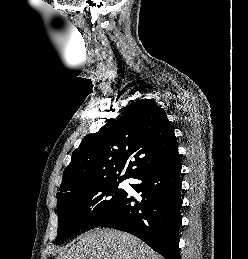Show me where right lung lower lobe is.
Listing matches in <instances>:
<instances>
[{
	"label": "right lung lower lobe",
	"mask_w": 248,
	"mask_h": 259,
	"mask_svg": "<svg viewBox=\"0 0 248 259\" xmlns=\"http://www.w3.org/2000/svg\"><path fill=\"white\" fill-rule=\"evenodd\" d=\"M181 162L179 154L139 171L132 178L140 180L131 186L141 192V203L126 193L114 215L101 227L114 228L143 240L165 259H180L179 227Z\"/></svg>",
	"instance_id": "right-lung-lower-lobe-1"
}]
</instances>
